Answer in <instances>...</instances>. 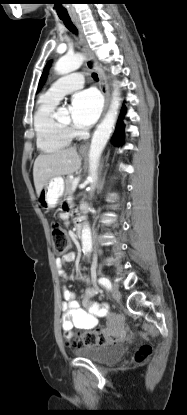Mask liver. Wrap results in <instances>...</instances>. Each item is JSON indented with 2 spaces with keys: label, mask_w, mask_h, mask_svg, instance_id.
I'll use <instances>...</instances> for the list:
<instances>
[{
  "label": "liver",
  "mask_w": 187,
  "mask_h": 415,
  "mask_svg": "<svg viewBox=\"0 0 187 415\" xmlns=\"http://www.w3.org/2000/svg\"><path fill=\"white\" fill-rule=\"evenodd\" d=\"M81 159L76 148H67L50 154H40L33 166V178L37 195L46 182L57 176L68 175L77 171Z\"/></svg>",
  "instance_id": "obj_1"
}]
</instances>
